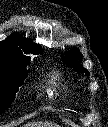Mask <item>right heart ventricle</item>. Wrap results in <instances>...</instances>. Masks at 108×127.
<instances>
[{
    "label": "right heart ventricle",
    "instance_id": "e07e8e85",
    "mask_svg": "<svg viewBox=\"0 0 108 127\" xmlns=\"http://www.w3.org/2000/svg\"><path fill=\"white\" fill-rule=\"evenodd\" d=\"M55 84L58 83V78L57 77H54V81H53Z\"/></svg>",
    "mask_w": 108,
    "mask_h": 127
}]
</instances>
